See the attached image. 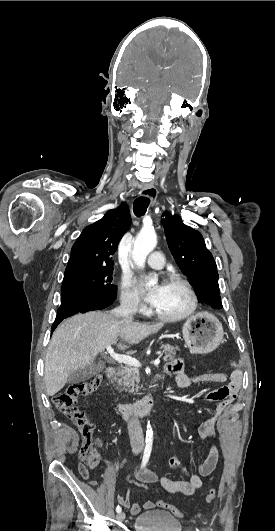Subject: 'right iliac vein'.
<instances>
[{
    "mask_svg": "<svg viewBox=\"0 0 275 531\" xmlns=\"http://www.w3.org/2000/svg\"><path fill=\"white\" fill-rule=\"evenodd\" d=\"M116 518L119 520V521H123L125 519V513L124 512H120L117 514Z\"/></svg>",
    "mask_w": 275,
    "mask_h": 531,
    "instance_id": "right-iliac-vein-1",
    "label": "right iliac vein"
}]
</instances>
